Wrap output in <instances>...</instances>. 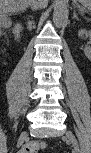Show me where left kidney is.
Here are the masks:
<instances>
[{
  "mask_svg": "<svg viewBox=\"0 0 91 153\" xmlns=\"http://www.w3.org/2000/svg\"><path fill=\"white\" fill-rule=\"evenodd\" d=\"M84 34H85V30L79 31V36H83ZM84 52H85V55L87 58H91V49L90 48L86 47Z\"/></svg>",
  "mask_w": 91,
  "mask_h": 153,
  "instance_id": "5707ae66",
  "label": "left kidney"
}]
</instances>
